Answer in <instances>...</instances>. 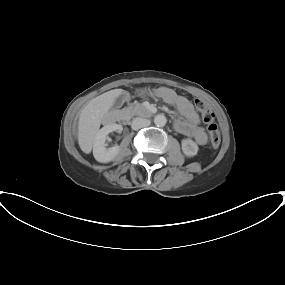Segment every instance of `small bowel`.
I'll return each instance as SVG.
<instances>
[{"label": "small bowel", "instance_id": "obj_1", "mask_svg": "<svg viewBox=\"0 0 285 285\" xmlns=\"http://www.w3.org/2000/svg\"><path fill=\"white\" fill-rule=\"evenodd\" d=\"M153 96L175 106L179 117L174 122L177 132L193 138L199 145L207 143V134L200 126V118L191 102L168 87H160L153 92Z\"/></svg>", "mask_w": 285, "mask_h": 285}]
</instances>
